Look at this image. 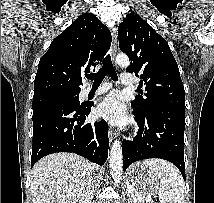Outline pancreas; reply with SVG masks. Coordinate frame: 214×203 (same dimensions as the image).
<instances>
[{
    "mask_svg": "<svg viewBox=\"0 0 214 203\" xmlns=\"http://www.w3.org/2000/svg\"><path fill=\"white\" fill-rule=\"evenodd\" d=\"M131 194V202L130 203H153L149 200H146L145 197H142L140 194L136 193L134 190L132 191Z\"/></svg>",
    "mask_w": 214,
    "mask_h": 203,
    "instance_id": "cf45deb5",
    "label": "pancreas"
}]
</instances>
